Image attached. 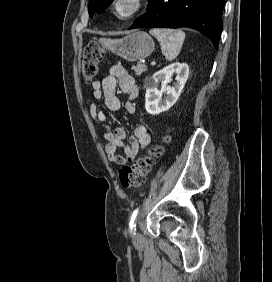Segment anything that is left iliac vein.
<instances>
[{
	"instance_id": "obj_1",
	"label": "left iliac vein",
	"mask_w": 272,
	"mask_h": 282,
	"mask_svg": "<svg viewBox=\"0 0 272 282\" xmlns=\"http://www.w3.org/2000/svg\"><path fill=\"white\" fill-rule=\"evenodd\" d=\"M132 240H133V243H134L136 246L142 245V242H143L142 235H141V233L138 232L136 229L134 230V233H133V236H132Z\"/></svg>"
}]
</instances>
